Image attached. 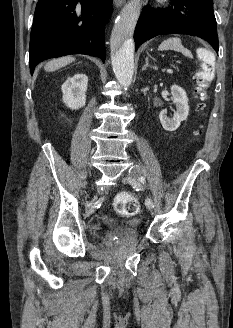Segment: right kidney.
I'll use <instances>...</instances> for the list:
<instances>
[{
	"label": "right kidney",
	"mask_w": 233,
	"mask_h": 328,
	"mask_svg": "<svg viewBox=\"0 0 233 328\" xmlns=\"http://www.w3.org/2000/svg\"><path fill=\"white\" fill-rule=\"evenodd\" d=\"M88 77L78 73L68 78L62 85L63 102L70 109H79L86 103Z\"/></svg>",
	"instance_id": "right-kidney-1"
}]
</instances>
